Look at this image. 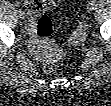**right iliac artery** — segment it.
I'll list each match as a JSON object with an SVG mask.
<instances>
[{
	"label": "right iliac artery",
	"instance_id": "obj_1",
	"mask_svg": "<svg viewBox=\"0 0 111 106\" xmlns=\"http://www.w3.org/2000/svg\"><path fill=\"white\" fill-rule=\"evenodd\" d=\"M15 5H16L18 11H23L22 8L20 7L19 3H16Z\"/></svg>",
	"mask_w": 111,
	"mask_h": 106
}]
</instances>
